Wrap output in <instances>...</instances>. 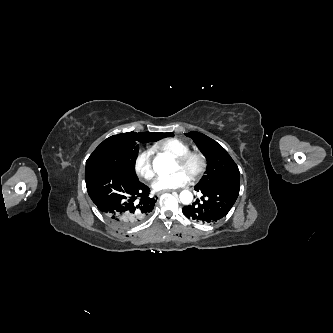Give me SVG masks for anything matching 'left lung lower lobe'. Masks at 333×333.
Returning <instances> with one entry per match:
<instances>
[{"instance_id":"left-lung-lower-lobe-1","label":"left lung lower lobe","mask_w":333,"mask_h":333,"mask_svg":"<svg viewBox=\"0 0 333 333\" xmlns=\"http://www.w3.org/2000/svg\"><path fill=\"white\" fill-rule=\"evenodd\" d=\"M240 189V182L233 181L223 184L214 185L206 188L195 187V190L202 192L204 197L199 202L197 199L192 205L184 206L182 209L183 214L196 222L207 224L215 223L225 217L232 206L234 205ZM227 194L228 198L225 201H217L221 196Z\"/></svg>"}]
</instances>
